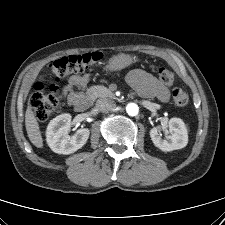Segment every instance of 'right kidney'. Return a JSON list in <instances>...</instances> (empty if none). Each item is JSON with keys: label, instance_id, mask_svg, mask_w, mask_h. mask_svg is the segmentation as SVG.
<instances>
[{"label": "right kidney", "instance_id": "right-kidney-1", "mask_svg": "<svg viewBox=\"0 0 225 225\" xmlns=\"http://www.w3.org/2000/svg\"><path fill=\"white\" fill-rule=\"evenodd\" d=\"M70 126L71 115L67 113L57 116L48 124L46 141L53 152L68 155L86 144L90 135L89 129H79L70 137L68 135Z\"/></svg>", "mask_w": 225, "mask_h": 225}]
</instances>
